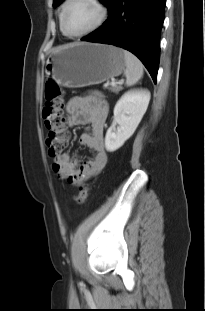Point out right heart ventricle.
I'll return each instance as SVG.
<instances>
[{
	"mask_svg": "<svg viewBox=\"0 0 205 311\" xmlns=\"http://www.w3.org/2000/svg\"><path fill=\"white\" fill-rule=\"evenodd\" d=\"M63 5H64V3H63ZM63 5H62V7H61V9H60V12H59L60 29H61V16H62V8H63ZM61 30H62V29H61Z\"/></svg>",
	"mask_w": 205,
	"mask_h": 311,
	"instance_id": "obj_1",
	"label": "right heart ventricle"
}]
</instances>
